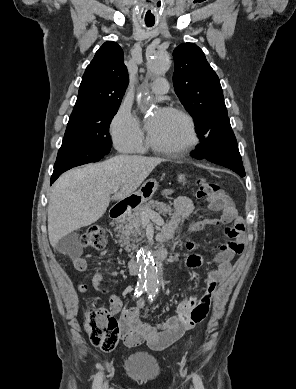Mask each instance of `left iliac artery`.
<instances>
[{"label": "left iliac artery", "mask_w": 296, "mask_h": 389, "mask_svg": "<svg viewBox=\"0 0 296 389\" xmlns=\"http://www.w3.org/2000/svg\"><path fill=\"white\" fill-rule=\"evenodd\" d=\"M193 380H194V383H195L197 389H204V386H203V383H202V379H201V377L199 375L194 374L193 375Z\"/></svg>", "instance_id": "1"}]
</instances>
